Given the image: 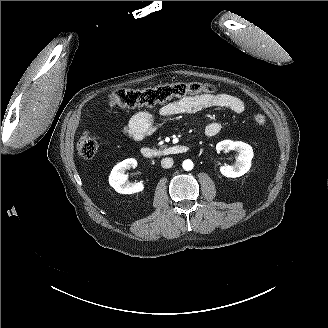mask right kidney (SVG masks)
<instances>
[{
	"mask_svg": "<svg viewBox=\"0 0 328 328\" xmlns=\"http://www.w3.org/2000/svg\"><path fill=\"white\" fill-rule=\"evenodd\" d=\"M135 167H137V161L134 158L123 160L114 166L109 176V184L115 189V191L122 194H132L144 189L141 182H128V177L124 174L125 170Z\"/></svg>",
	"mask_w": 328,
	"mask_h": 328,
	"instance_id": "right-kidney-1",
	"label": "right kidney"
}]
</instances>
